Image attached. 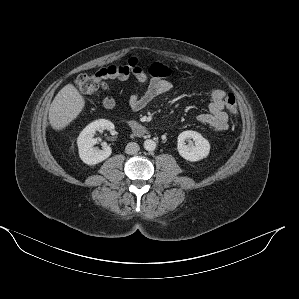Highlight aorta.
Returning a JSON list of instances; mask_svg holds the SVG:
<instances>
[{
  "instance_id": "obj_1",
  "label": "aorta",
  "mask_w": 299,
  "mask_h": 299,
  "mask_svg": "<svg viewBox=\"0 0 299 299\" xmlns=\"http://www.w3.org/2000/svg\"><path fill=\"white\" fill-rule=\"evenodd\" d=\"M144 148L147 151H154L156 149V142L151 139H147L144 141Z\"/></svg>"
}]
</instances>
